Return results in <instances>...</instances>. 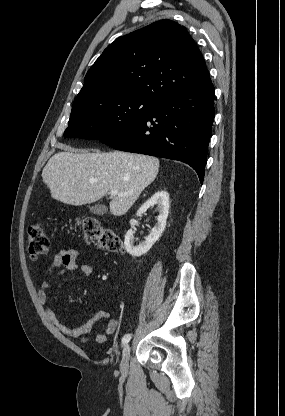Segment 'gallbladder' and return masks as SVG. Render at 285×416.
<instances>
[{"instance_id":"obj_1","label":"gallbladder","mask_w":285,"mask_h":416,"mask_svg":"<svg viewBox=\"0 0 285 416\" xmlns=\"http://www.w3.org/2000/svg\"><path fill=\"white\" fill-rule=\"evenodd\" d=\"M89 210L92 214H96V216H103V214L108 212L107 206H103V204H95V206H91Z\"/></svg>"}]
</instances>
